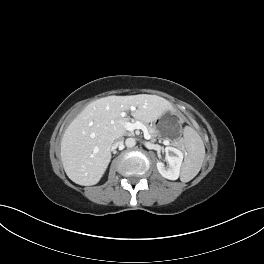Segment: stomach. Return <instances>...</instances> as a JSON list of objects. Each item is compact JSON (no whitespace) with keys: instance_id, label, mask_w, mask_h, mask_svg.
I'll use <instances>...</instances> for the list:
<instances>
[{"instance_id":"obj_1","label":"stomach","mask_w":264,"mask_h":264,"mask_svg":"<svg viewBox=\"0 0 264 264\" xmlns=\"http://www.w3.org/2000/svg\"><path fill=\"white\" fill-rule=\"evenodd\" d=\"M180 120L175 114L167 112L162 118H159L156 124V130L159 137L171 138L177 140L181 137L182 132L179 127Z\"/></svg>"}]
</instances>
